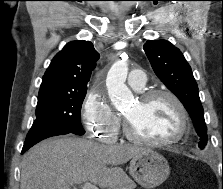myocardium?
<instances>
[{"instance_id": "myocardium-1", "label": "myocardium", "mask_w": 223, "mask_h": 189, "mask_svg": "<svg viewBox=\"0 0 223 189\" xmlns=\"http://www.w3.org/2000/svg\"><path fill=\"white\" fill-rule=\"evenodd\" d=\"M157 97L169 98L172 101V103L175 105V107L177 108L179 112V116H180V127L177 134L171 138H162V139L147 138V137L137 134L134 131L130 120L125 117L124 118V131H125L126 136L133 142L140 143V144L153 145V146H166V145H173L179 142L187 135L189 126H190L189 113L184 103L176 94H174L173 92L169 90L154 89V90L143 92L138 97V101L140 103H146Z\"/></svg>"}]
</instances>
